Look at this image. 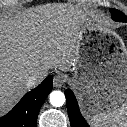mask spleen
<instances>
[{
	"mask_svg": "<svg viewBox=\"0 0 127 127\" xmlns=\"http://www.w3.org/2000/svg\"><path fill=\"white\" fill-rule=\"evenodd\" d=\"M90 122L93 127H127V100L110 111L94 114Z\"/></svg>",
	"mask_w": 127,
	"mask_h": 127,
	"instance_id": "spleen-1",
	"label": "spleen"
}]
</instances>
